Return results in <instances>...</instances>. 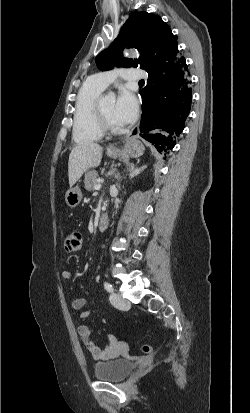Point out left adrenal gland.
Returning <instances> with one entry per match:
<instances>
[{
    "label": "left adrenal gland",
    "mask_w": 250,
    "mask_h": 413,
    "mask_svg": "<svg viewBox=\"0 0 250 413\" xmlns=\"http://www.w3.org/2000/svg\"><path fill=\"white\" fill-rule=\"evenodd\" d=\"M143 170H144L143 168H132L130 171L129 177L132 178L133 176L139 174Z\"/></svg>",
    "instance_id": "a2214340"
}]
</instances>
